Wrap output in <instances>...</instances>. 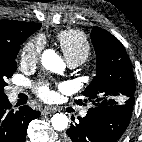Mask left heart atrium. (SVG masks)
<instances>
[{
	"instance_id": "39dd6f15",
	"label": "left heart atrium",
	"mask_w": 142,
	"mask_h": 142,
	"mask_svg": "<svg viewBox=\"0 0 142 142\" xmlns=\"http://www.w3.org/2000/svg\"><path fill=\"white\" fill-rule=\"evenodd\" d=\"M38 95L43 100H48L51 97V91L48 86H41L37 89Z\"/></svg>"
}]
</instances>
